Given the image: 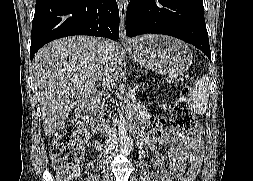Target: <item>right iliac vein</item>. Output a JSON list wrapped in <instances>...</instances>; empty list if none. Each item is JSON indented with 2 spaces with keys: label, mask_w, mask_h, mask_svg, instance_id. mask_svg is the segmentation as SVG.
I'll use <instances>...</instances> for the list:
<instances>
[{
  "label": "right iliac vein",
  "mask_w": 253,
  "mask_h": 181,
  "mask_svg": "<svg viewBox=\"0 0 253 181\" xmlns=\"http://www.w3.org/2000/svg\"><path fill=\"white\" fill-rule=\"evenodd\" d=\"M103 181H112V177H111V175H109L108 172L104 175Z\"/></svg>",
  "instance_id": "63e3f726"
}]
</instances>
